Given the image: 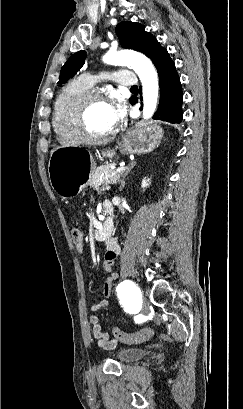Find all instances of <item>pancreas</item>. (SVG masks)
Here are the masks:
<instances>
[{
  "label": "pancreas",
  "mask_w": 243,
  "mask_h": 409,
  "mask_svg": "<svg viewBox=\"0 0 243 409\" xmlns=\"http://www.w3.org/2000/svg\"><path fill=\"white\" fill-rule=\"evenodd\" d=\"M113 164L109 163L106 165H101L95 168L89 176V185L92 188H98L102 183L111 181V183H116L119 179L120 174H115L116 170L112 169Z\"/></svg>",
  "instance_id": "pancreas-1"
}]
</instances>
